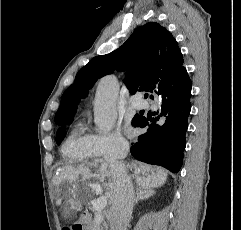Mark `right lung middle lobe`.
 Wrapping results in <instances>:
<instances>
[{
  "label": "right lung middle lobe",
  "mask_w": 241,
  "mask_h": 230,
  "mask_svg": "<svg viewBox=\"0 0 241 230\" xmlns=\"http://www.w3.org/2000/svg\"><path fill=\"white\" fill-rule=\"evenodd\" d=\"M138 119V117L133 118L132 124Z\"/></svg>",
  "instance_id": "1"
}]
</instances>
